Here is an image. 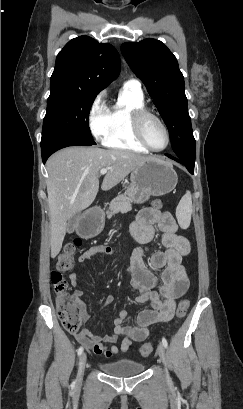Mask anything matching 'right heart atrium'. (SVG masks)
<instances>
[{
    "mask_svg": "<svg viewBox=\"0 0 243 409\" xmlns=\"http://www.w3.org/2000/svg\"><path fill=\"white\" fill-rule=\"evenodd\" d=\"M104 98V92L97 94L88 111V125L90 131L98 140H104L111 128V115Z\"/></svg>",
    "mask_w": 243,
    "mask_h": 409,
    "instance_id": "d8ad5b80",
    "label": "right heart atrium"
}]
</instances>
